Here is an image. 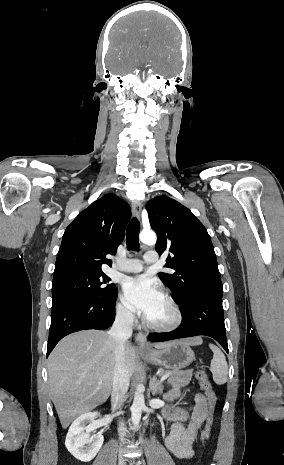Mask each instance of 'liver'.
<instances>
[{
    "label": "liver",
    "instance_id": "1",
    "mask_svg": "<svg viewBox=\"0 0 284 465\" xmlns=\"http://www.w3.org/2000/svg\"><path fill=\"white\" fill-rule=\"evenodd\" d=\"M186 345H202L201 337L184 339ZM113 337L103 331L73 333L52 351L48 359L51 399L63 429L107 401L114 379ZM167 343H158L155 349H164ZM126 367L130 377L135 373L136 349L126 341ZM102 381V383H100Z\"/></svg>",
    "mask_w": 284,
    "mask_h": 465
}]
</instances>
